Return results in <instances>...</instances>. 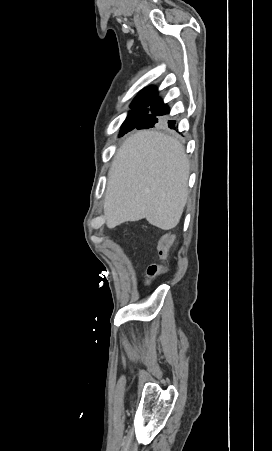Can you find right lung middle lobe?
Returning a JSON list of instances; mask_svg holds the SVG:
<instances>
[{
    "label": "right lung middle lobe",
    "mask_w": 272,
    "mask_h": 451,
    "mask_svg": "<svg viewBox=\"0 0 272 451\" xmlns=\"http://www.w3.org/2000/svg\"><path fill=\"white\" fill-rule=\"evenodd\" d=\"M154 98H148V99H135L131 104V109L134 111H131L125 120V122L122 125L121 132L125 129L131 127L132 125L140 122L148 113L149 108L148 106L151 105Z\"/></svg>",
    "instance_id": "dd1d6c3e"
}]
</instances>
